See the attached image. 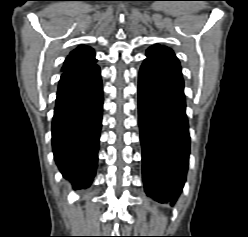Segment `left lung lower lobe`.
<instances>
[{
    "label": "left lung lower lobe",
    "mask_w": 248,
    "mask_h": 237,
    "mask_svg": "<svg viewBox=\"0 0 248 237\" xmlns=\"http://www.w3.org/2000/svg\"><path fill=\"white\" fill-rule=\"evenodd\" d=\"M138 110L145 191L159 202L174 203L190 151L183 78L146 59L139 73Z\"/></svg>",
    "instance_id": "obj_1"
}]
</instances>
